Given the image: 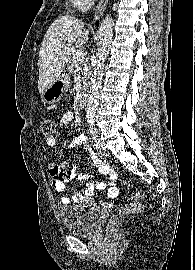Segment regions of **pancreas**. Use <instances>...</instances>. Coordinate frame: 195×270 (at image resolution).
Instances as JSON below:
<instances>
[{
    "mask_svg": "<svg viewBox=\"0 0 195 270\" xmlns=\"http://www.w3.org/2000/svg\"><path fill=\"white\" fill-rule=\"evenodd\" d=\"M75 52L70 56L68 60V71L72 75H75L76 73H82L83 75V82H86L89 79V66L85 62L77 61L74 58Z\"/></svg>",
    "mask_w": 195,
    "mask_h": 270,
    "instance_id": "obj_1",
    "label": "pancreas"
}]
</instances>
